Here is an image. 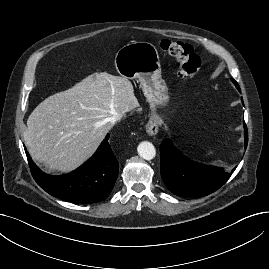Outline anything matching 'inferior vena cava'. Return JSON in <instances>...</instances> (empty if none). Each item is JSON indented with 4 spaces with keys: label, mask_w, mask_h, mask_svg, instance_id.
Returning a JSON list of instances; mask_svg holds the SVG:
<instances>
[{
    "label": "inferior vena cava",
    "mask_w": 269,
    "mask_h": 269,
    "mask_svg": "<svg viewBox=\"0 0 269 269\" xmlns=\"http://www.w3.org/2000/svg\"><path fill=\"white\" fill-rule=\"evenodd\" d=\"M123 117L122 114H115L109 118V122L113 125L115 122L119 121Z\"/></svg>",
    "instance_id": "obj_1"
}]
</instances>
